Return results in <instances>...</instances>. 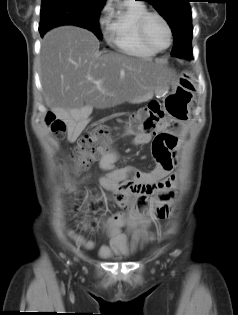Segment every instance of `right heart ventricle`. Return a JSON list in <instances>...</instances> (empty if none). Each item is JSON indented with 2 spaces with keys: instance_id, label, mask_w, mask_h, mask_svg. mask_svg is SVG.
<instances>
[{
  "instance_id": "e07e8e85",
  "label": "right heart ventricle",
  "mask_w": 238,
  "mask_h": 315,
  "mask_svg": "<svg viewBox=\"0 0 238 315\" xmlns=\"http://www.w3.org/2000/svg\"><path fill=\"white\" fill-rule=\"evenodd\" d=\"M148 12L138 0H123L106 19L104 37L108 45L127 55L152 57L157 52L148 48L140 39L138 23Z\"/></svg>"
}]
</instances>
